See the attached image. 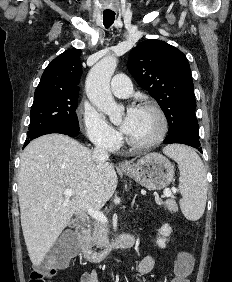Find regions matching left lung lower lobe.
Wrapping results in <instances>:
<instances>
[{
    "label": "left lung lower lobe",
    "mask_w": 232,
    "mask_h": 282,
    "mask_svg": "<svg viewBox=\"0 0 232 282\" xmlns=\"http://www.w3.org/2000/svg\"><path fill=\"white\" fill-rule=\"evenodd\" d=\"M172 143L186 144L197 148L200 152H202L199 142V133L182 131L174 126H171L169 129V134L164 140V144Z\"/></svg>",
    "instance_id": "0a47b994"
}]
</instances>
